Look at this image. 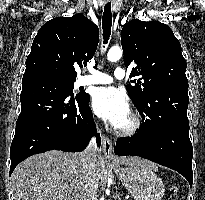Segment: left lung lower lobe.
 Listing matches in <instances>:
<instances>
[{"instance_id":"0a47b994","label":"left lung lower lobe","mask_w":205,"mask_h":200,"mask_svg":"<svg viewBox=\"0 0 205 200\" xmlns=\"http://www.w3.org/2000/svg\"><path fill=\"white\" fill-rule=\"evenodd\" d=\"M143 122L134 137L118 139L114 148L119 156H140L182 174L193 183V147L187 118L188 86L170 85L155 88L148 98Z\"/></svg>"}]
</instances>
